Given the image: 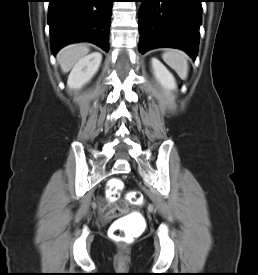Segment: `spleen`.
I'll use <instances>...</instances> for the list:
<instances>
[{
	"mask_svg": "<svg viewBox=\"0 0 258 275\" xmlns=\"http://www.w3.org/2000/svg\"><path fill=\"white\" fill-rule=\"evenodd\" d=\"M163 60L176 71L178 76L185 80L188 76V56L178 49H168L162 55Z\"/></svg>",
	"mask_w": 258,
	"mask_h": 275,
	"instance_id": "obj_1",
	"label": "spleen"
}]
</instances>
